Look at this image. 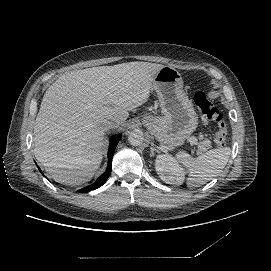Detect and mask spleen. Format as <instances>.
Instances as JSON below:
<instances>
[{
  "label": "spleen",
  "mask_w": 271,
  "mask_h": 271,
  "mask_svg": "<svg viewBox=\"0 0 271 271\" xmlns=\"http://www.w3.org/2000/svg\"><path fill=\"white\" fill-rule=\"evenodd\" d=\"M231 154L229 147H219L193 158L185 151L176 154V161L182 163L189 171L187 185L193 188L203 185L219 174L228 163Z\"/></svg>",
  "instance_id": "spleen-1"
}]
</instances>
